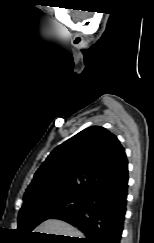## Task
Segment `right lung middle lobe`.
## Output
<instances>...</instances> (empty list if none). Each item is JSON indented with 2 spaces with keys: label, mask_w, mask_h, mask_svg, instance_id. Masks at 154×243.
<instances>
[{
  "label": "right lung middle lobe",
  "mask_w": 154,
  "mask_h": 243,
  "mask_svg": "<svg viewBox=\"0 0 154 243\" xmlns=\"http://www.w3.org/2000/svg\"><path fill=\"white\" fill-rule=\"evenodd\" d=\"M85 201V197L58 195L25 203L19 212L17 231L20 235H29L41 222L78 209Z\"/></svg>",
  "instance_id": "1"
}]
</instances>
